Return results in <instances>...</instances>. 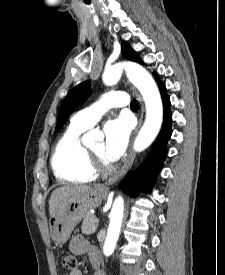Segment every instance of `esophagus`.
<instances>
[{
  "label": "esophagus",
  "instance_id": "esophagus-1",
  "mask_svg": "<svg viewBox=\"0 0 225 275\" xmlns=\"http://www.w3.org/2000/svg\"><path fill=\"white\" fill-rule=\"evenodd\" d=\"M131 90L132 92L137 96L139 102H140V118H139V122H138V126L137 128L135 129L133 135H132V142L136 136V134L138 133L142 123H143V115H144V107H143V102H142V98L140 96V94L138 93V91L131 86ZM134 159H135V154L134 152L132 151V144H131V147L129 149V153H128V156L122 166V168L115 174L113 175L112 177H110L108 179V181L102 185V188H107L109 185H112L114 184L116 181H118L122 176H124L126 174V172L130 169V167L132 166L133 162H134Z\"/></svg>",
  "mask_w": 225,
  "mask_h": 275
}]
</instances>
